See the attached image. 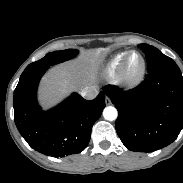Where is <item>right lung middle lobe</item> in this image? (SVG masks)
Segmentation results:
<instances>
[{
    "mask_svg": "<svg viewBox=\"0 0 183 183\" xmlns=\"http://www.w3.org/2000/svg\"><path fill=\"white\" fill-rule=\"evenodd\" d=\"M78 54V51L73 49H67L62 51H55L46 54L42 59L29 64L26 69L31 68H44L56 65L58 63L64 62L75 57Z\"/></svg>",
    "mask_w": 183,
    "mask_h": 183,
    "instance_id": "1",
    "label": "right lung middle lobe"
}]
</instances>
